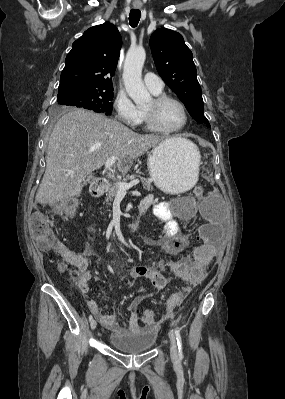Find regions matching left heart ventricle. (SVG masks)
Returning <instances> with one entry per match:
<instances>
[{"label": "left heart ventricle", "instance_id": "b2bd125f", "mask_svg": "<svg viewBox=\"0 0 285 399\" xmlns=\"http://www.w3.org/2000/svg\"><path fill=\"white\" fill-rule=\"evenodd\" d=\"M154 108L151 100L144 109L152 110ZM159 123L166 128H175L180 126L184 121L181 108L172 101L165 102L157 109Z\"/></svg>", "mask_w": 285, "mask_h": 399}]
</instances>
